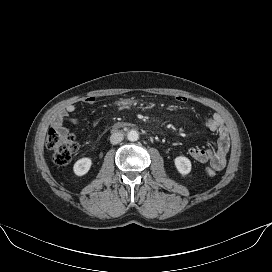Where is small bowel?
Masks as SVG:
<instances>
[{"label": "small bowel", "mask_w": 272, "mask_h": 272, "mask_svg": "<svg viewBox=\"0 0 272 272\" xmlns=\"http://www.w3.org/2000/svg\"><path fill=\"white\" fill-rule=\"evenodd\" d=\"M176 101L179 103H186L188 99L185 96L179 95L176 96ZM84 103L88 106H92L95 103V98L88 96L84 99ZM74 111L75 106L73 104L65 106L54 118L52 127L61 134H68L65 122H77L79 120L78 118L71 116V113ZM205 126L211 132L218 135L216 145L210 148L193 147L188 150V153L195 161L199 163L209 162L214 170L220 171L224 169L227 162V153L230 148L229 133L223 119L218 114H213L209 117L205 122Z\"/></svg>", "instance_id": "obj_1"}]
</instances>
